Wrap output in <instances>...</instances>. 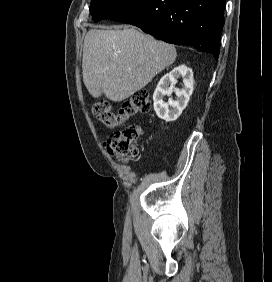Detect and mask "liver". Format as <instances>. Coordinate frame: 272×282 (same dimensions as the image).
<instances>
[{
  "label": "liver",
  "mask_w": 272,
  "mask_h": 282,
  "mask_svg": "<svg viewBox=\"0 0 272 282\" xmlns=\"http://www.w3.org/2000/svg\"><path fill=\"white\" fill-rule=\"evenodd\" d=\"M176 48L135 28L91 29L84 40L82 74L89 93L120 102L145 87L176 59Z\"/></svg>",
  "instance_id": "liver-1"
}]
</instances>
